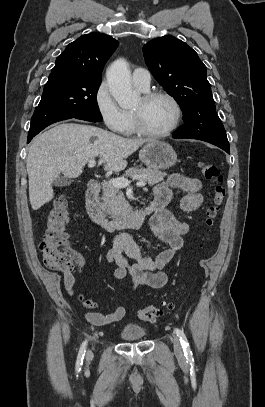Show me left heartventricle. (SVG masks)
<instances>
[{"label": "left heart ventricle", "mask_w": 265, "mask_h": 407, "mask_svg": "<svg viewBox=\"0 0 265 407\" xmlns=\"http://www.w3.org/2000/svg\"><path fill=\"white\" fill-rule=\"evenodd\" d=\"M132 111L140 114L143 126L152 132L166 130L172 124L175 116L171 102L162 97L149 102H144L140 98Z\"/></svg>", "instance_id": "b2bd125f"}]
</instances>
